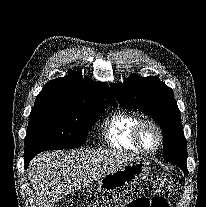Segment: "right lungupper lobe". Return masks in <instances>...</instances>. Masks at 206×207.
Instances as JSON below:
<instances>
[{
	"instance_id": "obj_1",
	"label": "right lung upper lobe",
	"mask_w": 206,
	"mask_h": 207,
	"mask_svg": "<svg viewBox=\"0 0 206 207\" xmlns=\"http://www.w3.org/2000/svg\"><path fill=\"white\" fill-rule=\"evenodd\" d=\"M62 103L85 107L117 106L109 86L71 71L67 76L49 81L35 103Z\"/></svg>"
}]
</instances>
